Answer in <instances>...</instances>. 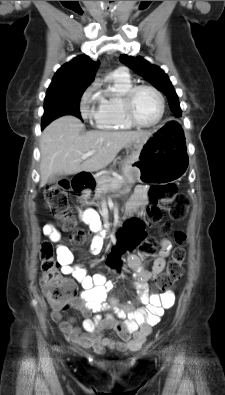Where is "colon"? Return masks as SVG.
<instances>
[{"label":"colon","instance_id":"obj_1","mask_svg":"<svg viewBox=\"0 0 225 395\" xmlns=\"http://www.w3.org/2000/svg\"><path fill=\"white\" fill-rule=\"evenodd\" d=\"M70 185L67 181H59L49 185L44 193L47 209L62 221L63 227L72 232V241L77 245L85 242L86 236L82 229L76 227L75 219L69 205ZM152 207L148 210L147 219L150 221L158 215L159 211L166 210L173 220H182L186 217L190 200L180 193L175 184L152 185L148 191ZM119 230L118 244H112L108 249L106 261L113 272H122L119 265V251H139L145 256L156 253L157 244L154 238L145 234V222L140 215H131L127 223H123ZM177 247L173 250L166 270L156 279L155 288L159 291H170L183 273L185 261L186 234L182 231L175 233ZM41 273L40 281L44 294L51 307L64 310L69 306V299L73 296L74 286L65 279L59 271V261L50 242H44L40 249Z\"/></svg>","mask_w":225,"mask_h":395}]
</instances>
